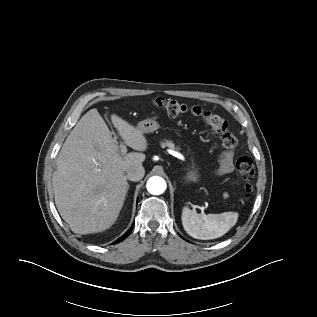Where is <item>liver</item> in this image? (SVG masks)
<instances>
[{
    "instance_id": "1",
    "label": "liver",
    "mask_w": 317,
    "mask_h": 317,
    "mask_svg": "<svg viewBox=\"0 0 317 317\" xmlns=\"http://www.w3.org/2000/svg\"><path fill=\"white\" fill-rule=\"evenodd\" d=\"M111 121L127 146L147 149L138 128L116 114ZM144 161L145 154L139 152L121 156L97 109L88 111L65 140L52 175L57 210L71 230L82 235L110 228L124 204L128 170Z\"/></svg>"
}]
</instances>
